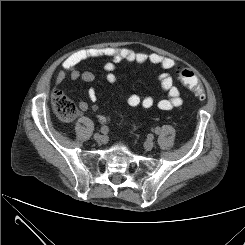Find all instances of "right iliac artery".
Returning a JSON list of instances; mask_svg holds the SVG:
<instances>
[{"instance_id": "right-iliac-artery-1", "label": "right iliac artery", "mask_w": 245, "mask_h": 245, "mask_svg": "<svg viewBox=\"0 0 245 245\" xmlns=\"http://www.w3.org/2000/svg\"><path fill=\"white\" fill-rule=\"evenodd\" d=\"M101 133L107 134L108 133V128L106 126L101 128Z\"/></svg>"}]
</instances>
